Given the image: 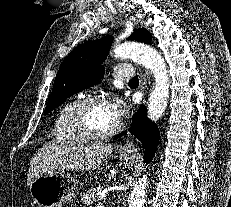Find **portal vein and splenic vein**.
<instances>
[{
    "label": "portal vein and splenic vein",
    "mask_w": 231,
    "mask_h": 207,
    "mask_svg": "<svg viewBox=\"0 0 231 207\" xmlns=\"http://www.w3.org/2000/svg\"><path fill=\"white\" fill-rule=\"evenodd\" d=\"M96 207H104V205H103V203L99 202V203L96 204Z\"/></svg>",
    "instance_id": "portal-vein-and-splenic-vein-1"
}]
</instances>
